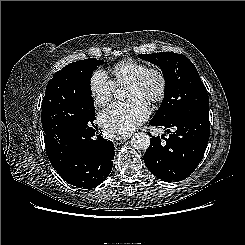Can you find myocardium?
Masks as SVG:
<instances>
[{
    "label": "myocardium",
    "mask_w": 245,
    "mask_h": 245,
    "mask_svg": "<svg viewBox=\"0 0 245 245\" xmlns=\"http://www.w3.org/2000/svg\"><path fill=\"white\" fill-rule=\"evenodd\" d=\"M152 76L156 77L158 80V90L156 91V93L150 95L147 98V101L152 104H157L164 99L167 91V78L165 73L161 69L155 67H148L134 79L129 81L127 85L140 88L144 86L147 80Z\"/></svg>",
    "instance_id": "f54148a6"
}]
</instances>
